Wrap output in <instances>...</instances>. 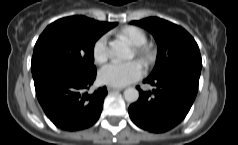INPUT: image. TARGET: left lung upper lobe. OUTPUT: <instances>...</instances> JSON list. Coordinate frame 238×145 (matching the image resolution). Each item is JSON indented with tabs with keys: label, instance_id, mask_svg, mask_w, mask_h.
<instances>
[{
	"label": "left lung upper lobe",
	"instance_id": "obj_1",
	"mask_svg": "<svg viewBox=\"0 0 238 145\" xmlns=\"http://www.w3.org/2000/svg\"><path fill=\"white\" fill-rule=\"evenodd\" d=\"M131 23L147 29L157 42L156 66L149 77L185 69L201 70L202 60L198 45L185 29L157 17H149Z\"/></svg>",
	"mask_w": 238,
	"mask_h": 145
}]
</instances>
